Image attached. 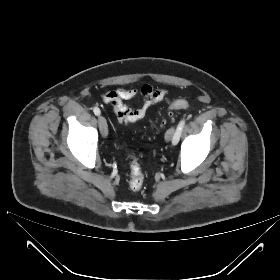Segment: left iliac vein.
<instances>
[{"instance_id":"left-iliac-vein-1","label":"left iliac vein","mask_w":280,"mask_h":280,"mask_svg":"<svg viewBox=\"0 0 280 280\" xmlns=\"http://www.w3.org/2000/svg\"><path fill=\"white\" fill-rule=\"evenodd\" d=\"M174 134H175V128L174 127H171L167 130V132L165 133V140L168 142V141H171L174 137Z\"/></svg>"}]
</instances>
